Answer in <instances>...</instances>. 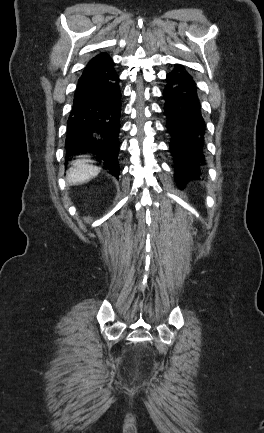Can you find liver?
Listing matches in <instances>:
<instances>
[{
    "instance_id": "6515ba94",
    "label": "liver",
    "mask_w": 264,
    "mask_h": 433,
    "mask_svg": "<svg viewBox=\"0 0 264 433\" xmlns=\"http://www.w3.org/2000/svg\"><path fill=\"white\" fill-rule=\"evenodd\" d=\"M88 162L86 159L74 161L73 166L67 171V181L71 184H82L96 177L101 169Z\"/></svg>"
}]
</instances>
